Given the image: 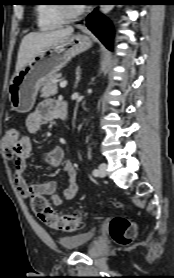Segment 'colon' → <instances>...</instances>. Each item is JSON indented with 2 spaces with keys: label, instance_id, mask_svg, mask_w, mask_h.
<instances>
[{
  "label": "colon",
  "instance_id": "colon-1",
  "mask_svg": "<svg viewBox=\"0 0 174 278\" xmlns=\"http://www.w3.org/2000/svg\"><path fill=\"white\" fill-rule=\"evenodd\" d=\"M20 137V133L17 130H9L4 138V150L7 156L12 157V145ZM119 207L120 203H114ZM31 207L35 215L48 227L72 232L78 229L84 228L86 223L81 213L75 214H58L48 204L47 200L42 195L31 196ZM109 232L111 237L121 245L130 244L135 238L137 227L135 223L124 217H114L109 223Z\"/></svg>",
  "mask_w": 174,
  "mask_h": 278
}]
</instances>
